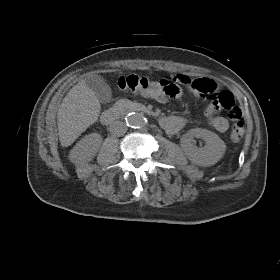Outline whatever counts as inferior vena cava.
<instances>
[{
  "label": "inferior vena cava",
  "mask_w": 280,
  "mask_h": 280,
  "mask_svg": "<svg viewBox=\"0 0 280 280\" xmlns=\"http://www.w3.org/2000/svg\"><path fill=\"white\" fill-rule=\"evenodd\" d=\"M127 131V126L124 122L114 121L110 126V132L114 136H121Z\"/></svg>",
  "instance_id": "inferior-vena-cava-1"
}]
</instances>
